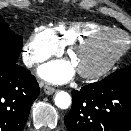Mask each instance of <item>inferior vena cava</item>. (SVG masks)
Listing matches in <instances>:
<instances>
[{
    "mask_svg": "<svg viewBox=\"0 0 131 131\" xmlns=\"http://www.w3.org/2000/svg\"><path fill=\"white\" fill-rule=\"evenodd\" d=\"M40 61V60H42V59H36V58H34V57H29V56H25L24 57V64L26 65V66H28V67H30V66H32V64L34 63V62H36V61Z\"/></svg>",
    "mask_w": 131,
    "mask_h": 131,
    "instance_id": "602c4592",
    "label": "inferior vena cava"
}]
</instances>
